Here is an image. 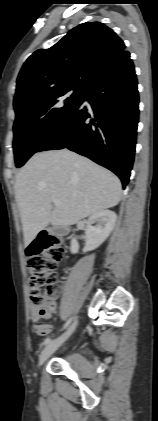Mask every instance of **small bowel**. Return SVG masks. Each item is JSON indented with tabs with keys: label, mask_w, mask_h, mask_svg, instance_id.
I'll list each match as a JSON object with an SVG mask.
<instances>
[{
	"label": "small bowel",
	"mask_w": 158,
	"mask_h": 421,
	"mask_svg": "<svg viewBox=\"0 0 158 421\" xmlns=\"http://www.w3.org/2000/svg\"><path fill=\"white\" fill-rule=\"evenodd\" d=\"M49 315L40 316L37 314L35 307L31 311V319L33 322L35 333L38 336H46L52 331V326L48 323H43L42 319L48 318Z\"/></svg>",
	"instance_id": "1"
}]
</instances>
